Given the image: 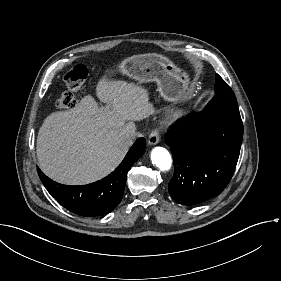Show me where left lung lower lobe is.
I'll list each match as a JSON object with an SVG mask.
<instances>
[{"label": "left lung lower lobe", "instance_id": "obj_1", "mask_svg": "<svg viewBox=\"0 0 281 281\" xmlns=\"http://www.w3.org/2000/svg\"><path fill=\"white\" fill-rule=\"evenodd\" d=\"M243 137L239 109L206 107L188 114L166 136L174 161L171 197L197 205L219 195L234 173Z\"/></svg>", "mask_w": 281, "mask_h": 281}]
</instances>
